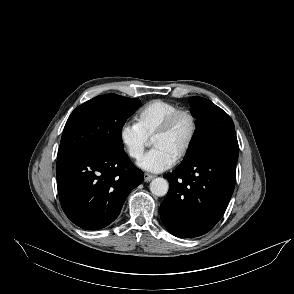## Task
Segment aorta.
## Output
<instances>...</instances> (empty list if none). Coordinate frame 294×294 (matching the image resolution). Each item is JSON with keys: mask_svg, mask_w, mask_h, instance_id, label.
<instances>
[{"mask_svg": "<svg viewBox=\"0 0 294 294\" xmlns=\"http://www.w3.org/2000/svg\"><path fill=\"white\" fill-rule=\"evenodd\" d=\"M169 189L168 182L161 177L155 178L150 183V191L156 196H164Z\"/></svg>", "mask_w": 294, "mask_h": 294, "instance_id": "762f6f07", "label": "aorta"}]
</instances>
